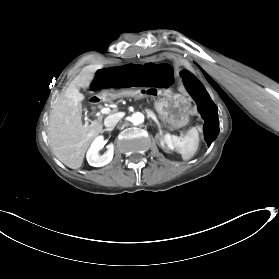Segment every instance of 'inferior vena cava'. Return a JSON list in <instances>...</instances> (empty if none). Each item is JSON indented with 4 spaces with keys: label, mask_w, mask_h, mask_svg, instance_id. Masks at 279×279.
<instances>
[{
    "label": "inferior vena cava",
    "mask_w": 279,
    "mask_h": 279,
    "mask_svg": "<svg viewBox=\"0 0 279 279\" xmlns=\"http://www.w3.org/2000/svg\"><path fill=\"white\" fill-rule=\"evenodd\" d=\"M123 116H124V113H117V114H113V115L109 114V116L105 119L104 124L106 127H111V126L114 127V125H116V123L119 121V119Z\"/></svg>",
    "instance_id": "obj_1"
}]
</instances>
